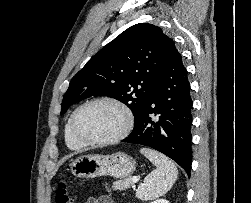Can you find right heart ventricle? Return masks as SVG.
Masks as SVG:
<instances>
[{"label": "right heart ventricle", "instance_id": "e07e8e85", "mask_svg": "<svg viewBox=\"0 0 251 203\" xmlns=\"http://www.w3.org/2000/svg\"><path fill=\"white\" fill-rule=\"evenodd\" d=\"M70 118L67 119L64 127V139L65 143L71 150H80L85 147L84 144L80 143L78 140L74 138L70 130Z\"/></svg>", "mask_w": 251, "mask_h": 203}]
</instances>
